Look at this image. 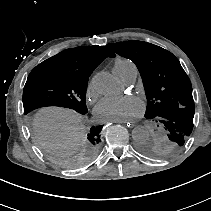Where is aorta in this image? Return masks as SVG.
Wrapping results in <instances>:
<instances>
[{
  "label": "aorta",
  "instance_id": "762f6f07",
  "mask_svg": "<svg viewBox=\"0 0 211 211\" xmlns=\"http://www.w3.org/2000/svg\"><path fill=\"white\" fill-rule=\"evenodd\" d=\"M95 90L102 95H114L119 92L120 86L117 80L107 72H99L93 78ZM149 131L144 126H136L132 130V138L135 142L148 139Z\"/></svg>",
  "mask_w": 211,
  "mask_h": 211
}]
</instances>
